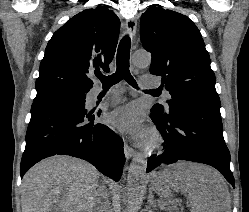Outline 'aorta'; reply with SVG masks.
I'll return each mask as SVG.
<instances>
[{
    "mask_svg": "<svg viewBox=\"0 0 249 212\" xmlns=\"http://www.w3.org/2000/svg\"><path fill=\"white\" fill-rule=\"evenodd\" d=\"M132 63L136 67H146L151 63V55L144 51H137L132 56ZM147 156L137 153L132 160L127 177V197L130 209H133L141 197L145 181Z\"/></svg>",
    "mask_w": 249,
    "mask_h": 212,
    "instance_id": "762f6f07",
    "label": "aorta"
}]
</instances>
